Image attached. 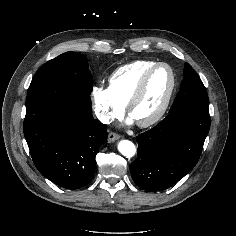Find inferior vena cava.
Segmentation results:
<instances>
[{
  "label": "inferior vena cava",
  "mask_w": 236,
  "mask_h": 236,
  "mask_svg": "<svg viewBox=\"0 0 236 236\" xmlns=\"http://www.w3.org/2000/svg\"><path fill=\"white\" fill-rule=\"evenodd\" d=\"M95 113H96L97 118H98L102 123H104V124H109V123L111 122L110 116H108V115H106V114H104V113L98 112V111H96Z\"/></svg>",
  "instance_id": "1"
}]
</instances>
